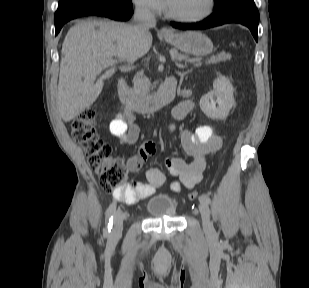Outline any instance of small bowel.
<instances>
[{
  "label": "small bowel",
  "instance_id": "small-bowel-1",
  "mask_svg": "<svg viewBox=\"0 0 309 288\" xmlns=\"http://www.w3.org/2000/svg\"><path fill=\"white\" fill-rule=\"evenodd\" d=\"M172 80V79H171ZM189 96V92L185 93ZM195 107L193 100L186 98L173 110V123L170 130L175 128L176 122L184 119ZM111 135L120 139L123 144L134 145L139 137V128L135 123V116L128 109L122 110L109 124ZM180 143L183 152L192 158L187 162L179 156L165 158L169 173L176 178L172 187L175 191L182 186L191 189L202 179L206 166V156L219 150L222 146V136L214 133L209 125H200L194 131L183 129L180 135ZM157 153V146L153 142H146L137 154L130 155L126 159L129 171L139 170L149 156ZM147 183L131 182L124 189L114 192V198L118 201L133 204L154 194L160 188L165 179L163 173L152 168L147 172Z\"/></svg>",
  "mask_w": 309,
  "mask_h": 288
}]
</instances>
